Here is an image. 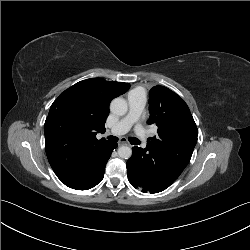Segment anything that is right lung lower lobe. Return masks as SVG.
I'll return each instance as SVG.
<instances>
[{
    "label": "right lung lower lobe",
    "mask_w": 250,
    "mask_h": 250,
    "mask_svg": "<svg viewBox=\"0 0 250 250\" xmlns=\"http://www.w3.org/2000/svg\"><path fill=\"white\" fill-rule=\"evenodd\" d=\"M117 147L115 143H107L105 144L98 152L93 165V175L90 180L82 185L78 190H87L96 186L104 177L105 166L107 164L108 159L111 156L112 151Z\"/></svg>",
    "instance_id": "right-lung-lower-lobe-1"
}]
</instances>
